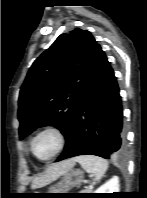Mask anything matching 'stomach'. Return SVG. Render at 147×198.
I'll return each instance as SVG.
<instances>
[{
	"mask_svg": "<svg viewBox=\"0 0 147 198\" xmlns=\"http://www.w3.org/2000/svg\"><path fill=\"white\" fill-rule=\"evenodd\" d=\"M84 173L79 170H70L62 177L61 181L49 188L47 193H67L73 187L80 185L83 181Z\"/></svg>",
	"mask_w": 147,
	"mask_h": 198,
	"instance_id": "stomach-1",
	"label": "stomach"
}]
</instances>
